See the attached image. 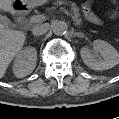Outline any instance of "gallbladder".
Here are the masks:
<instances>
[{
    "label": "gallbladder",
    "mask_w": 119,
    "mask_h": 119,
    "mask_svg": "<svg viewBox=\"0 0 119 119\" xmlns=\"http://www.w3.org/2000/svg\"><path fill=\"white\" fill-rule=\"evenodd\" d=\"M0 24L4 27H9L11 22L6 16L0 15Z\"/></svg>",
    "instance_id": "1"
}]
</instances>
